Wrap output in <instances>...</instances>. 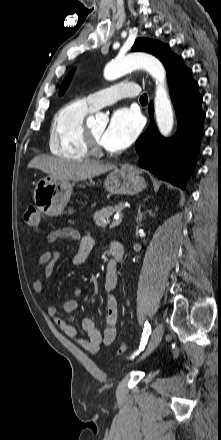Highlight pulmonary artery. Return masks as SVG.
<instances>
[{
    "label": "pulmonary artery",
    "mask_w": 221,
    "mask_h": 440,
    "mask_svg": "<svg viewBox=\"0 0 221 440\" xmlns=\"http://www.w3.org/2000/svg\"><path fill=\"white\" fill-rule=\"evenodd\" d=\"M139 86L136 83H119L88 95L85 100L97 110L125 97H135L139 94Z\"/></svg>",
    "instance_id": "pulmonary-artery-1"
}]
</instances>
